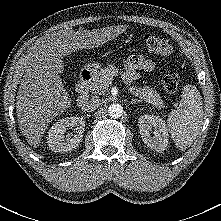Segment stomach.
<instances>
[{
	"mask_svg": "<svg viewBox=\"0 0 221 221\" xmlns=\"http://www.w3.org/2000/svg\"><path fill=\"white\" fill-rule=\"evenodd\" d=\"M100 69V64L96 62H91L87 64V70H89L92 73H96Z\"/></svg>",
	"mask_w": 221,
	"mask_h": 221,
	"instance_id": "obj_1",
	"label": "stomach"
}]
</instances>
